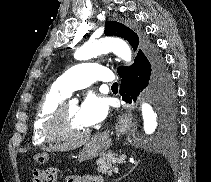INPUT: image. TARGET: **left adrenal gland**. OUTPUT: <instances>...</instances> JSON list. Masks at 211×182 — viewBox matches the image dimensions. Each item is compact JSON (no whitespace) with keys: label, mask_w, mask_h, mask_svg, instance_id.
Segmentation results:
<instances>
[{"label":"left adrenal gland","mask_w":211,"mask_h":182,"mask_svg":"<svg viewBox=\"0 0 211 182\" xmlns=\"http://www.w3.org/2000/svg\"><path fill=\"white\" fill-rule=\"evenodd\" d=\"M139 162H140V161L135 162V166L129 171V173H131V172L137 167V165L139 164ZM129 173H128V174H129ZM128 174H127V175H128ZM125 176H126V175H124L123 177H125Z\"/></svg>","instance_id":"1"}]
</instances>
